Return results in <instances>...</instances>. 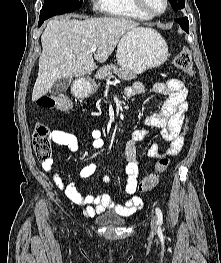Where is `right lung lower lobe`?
<instances>
[{
    "mask_svg": "<svg viewBox=\"0 0 221 263\" xmlns=\"http://www.w3.org/2000/svg\"><path fill=\"white\" fill-rule=\"evenodd\" d=\"M46 19H39L38 27H40Z\"/></svg>",
    "mask_w": 221,
    "mask_h": 263,
    "instance_id": "obj_1",
    "label": "right lung lower lobe"
}]
</instances>
